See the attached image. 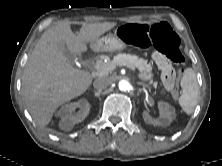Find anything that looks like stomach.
Segmentation results:
<instances>
[{
    "label": "stomach",
    "instance_id": "obj_1",
    "mask_svg": "<svg viewBox=\"0 0 222 166\" xmlns=\"http://www.w3.org/2000/svg\"><path fill=\"white\" fill-rule=\"evenodd\" d=\"M91 47L99 52H113L126 48V44L117 34H114L97 39L91 44Z\"/></svg>",
    "mask_w": 222,
    "mask_h": 166
}]
</instances>
